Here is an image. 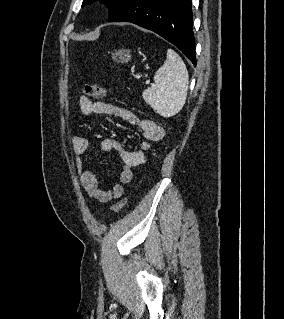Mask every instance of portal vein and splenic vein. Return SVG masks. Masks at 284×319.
Instances as JSON below:
<instances>
[{"instance_id": "18ae733b", "label": "portal vein and splenic vein", "mask_w": 284, "mask_h": 319, "mask_svg": "<svg viewBox=\"0 0 284 319\" xmlns=\"http://www.w3.org/2000/svg\"><path fill=\"white\" fill-rule=\"evenodd\" d=\"M146 83H147V84H149V83H150V81L148 80V81H146Z\"/></svg>"}]
</instances>
